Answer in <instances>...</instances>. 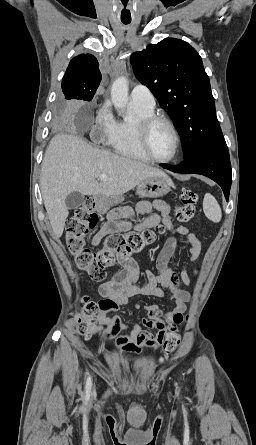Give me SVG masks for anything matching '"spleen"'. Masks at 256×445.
<instances>
[{
	"mask_svg": "<svg viewBox=\"0 0 256 445\" xmlns=\"http://www.w3.org/2000/svg\"><path fill=\"white\" fill-rule=\"evenodd\" d=\"M203 211L205 216L212 222L218 223L222 218V211L217 200L206 193L203 200Z\"/></svg>",
	"mask_w": 256,
	"mask_h": 445,
	"instance_id": "spleen-1",
	"label": "spleen"
}]
</instances>
